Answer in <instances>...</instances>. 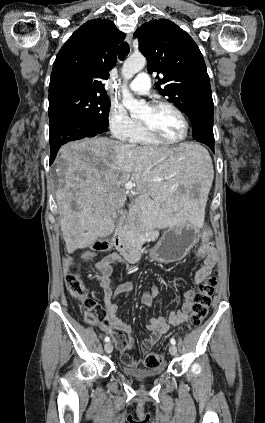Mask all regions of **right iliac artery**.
I'll return each instance as SVG.
<instances>
[{
  "instance_id": "right-iliac-artery-1",
  "label": "right iliac artery",
  "mask_w": 265,
  "mask_h": 423,
  "mask_svg": "<svg viewBox=\"0 0 265 423\" xmlns=\"http://www.w3.org/2000/svg\"><path fill=\"white\" fill-rule=\"evenodd\" d=\"M104 341L105 342H109L110 341V338L107 336V337H105Z\"/></svg>"
}]
</instances>
